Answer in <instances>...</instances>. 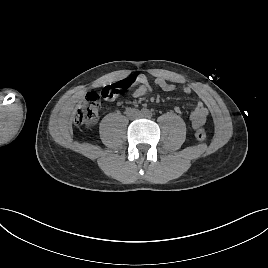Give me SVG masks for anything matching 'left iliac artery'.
Masks as SVG:
<instances>
[{
  "label": "left iliac artery",
  "mask_w": 268,
  "mask_h": 268,
  "mask_svg": "<svg viewBox=\"0 0 268 268\" xmlns=\"http://www.w3.org/2000/svg\"><path fill=\"white\" fill-rule=\"evenodd\" d=\"M152 115H153V113L151 112V111H148V113H147V117H152Z\"/></svg>",
  "instance_id": "1"
}]
</instances>
